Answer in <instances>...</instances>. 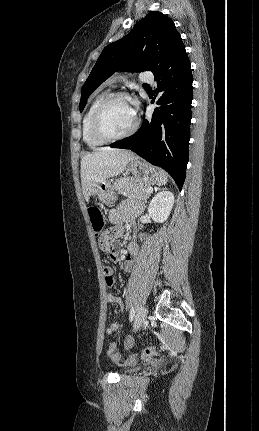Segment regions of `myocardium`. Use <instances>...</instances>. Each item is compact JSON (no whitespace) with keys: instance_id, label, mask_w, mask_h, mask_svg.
<instances>
[{"instance_id":"f54148a6","label":"myocardium","mask_w":259,"mask_h":431,"mask_svg":"<svg viewBox=\"0 0 259 431\" xmlns=\"http://www.w3.org/2000/svg\"><path fill=\"white\" fill-rule=\"evenodd\" d=\"M119 99H127L131 100L130 96L126 92H116L108 94L97 106L95 109L92 119H91V132L92 135L99 141H102L104 143L106 142H113L121 139H125L127 137H130L133 135L139 128L140 120L138 115L135 112V121L132 125V127L119 135H108L104 132L102 128V118L106 111V109L116 100Z\"/></svg>"}]
</instances>
